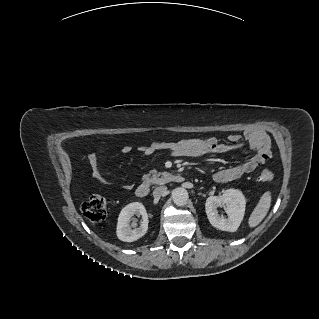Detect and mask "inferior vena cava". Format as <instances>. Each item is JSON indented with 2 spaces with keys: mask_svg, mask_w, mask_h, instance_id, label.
Here are the masks:
<instances>
[{
  "mask_svg": "<svg viewBox=\"0 0 319 319\" xmlns=\"http://www.w3.org/2000/svg\"><path fill=\"white\" fill-rule=\"evenodd\" d=\"M167 191V187L166 186H159L157 188L154 189L153 191V197L155 199H159L162 195H164Z\"/></svg>",
  "mask_w": 319,
  "mask_h": 319,
  "instance_id": "602c4592",
  "label": "inferior vena cava"
}]
</instances>
